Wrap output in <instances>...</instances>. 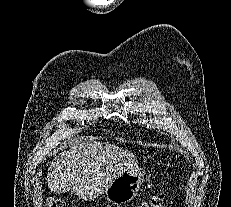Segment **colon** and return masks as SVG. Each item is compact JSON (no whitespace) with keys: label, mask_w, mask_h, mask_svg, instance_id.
Wrapping results in <instances>:
<instances>
[{"label":"colon","mask_w":231,"mask_h":207,"mask_svg":"<svg viewBox=\"0 0 231 207\" xmlns=\"http://www.w3.org/2000/svg\"><path fill=\"white\" fill-rule=\"evenodd\" d=\"M48 207H65L63 202L57 199L50 200ZM136 207H164V198L163 196H156L152 198L148 203L141 204Z\"/></svg>","instance_id":"obj_1"}]
</instances>
